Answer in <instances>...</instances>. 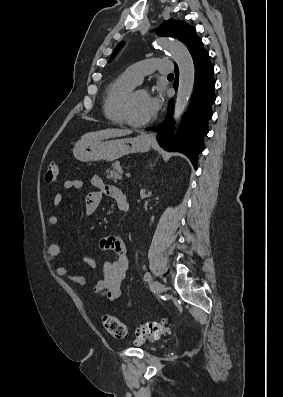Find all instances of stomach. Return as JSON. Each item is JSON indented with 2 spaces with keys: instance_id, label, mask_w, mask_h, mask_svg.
Segmentation results:
<instances>
[{
  "instance_id": "1",
  "label": "stomach",
  "mask_w": 283,
  "mask_h": 397,
  "mask_svg": "<svg viewBox=\"0 0 283 397\" xmlns=\"http://www.w3.org/2000/svg\"><path fill=\"white\" fill-rule=\"evenodd\" d=\"M151 145L146 135L109 141L80 140L75 144L73 155L81 162L113 161L130 153L147 152Z\"/></svg>"
}]
</instances>
